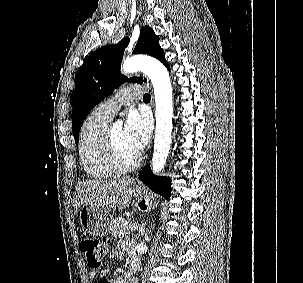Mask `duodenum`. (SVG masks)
<instances>
[{
  "instance_id": "410a0bca",
  "label": "duodenum",
  "mask_w": 303,
  "mask_h": 283,
  "mask_svg": "<svg viewBox=\"0 0 303 283\" xmlns=\"http://www.w3.org/2000/svg\"><path fill=\"white\" fill-rule=\"evenodd\" d=\"M139 265L140 263L138 258L132 260L130 263L129 275L132 277L131 283H136L135 275L139 271Z\"/></svg>"
}]
</instances>
